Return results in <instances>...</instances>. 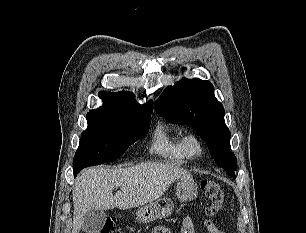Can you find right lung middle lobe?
<instances>
[{
    "mask_svg": "<svg viewBox=\"0 0 306 233\" xmlns=\"http://www.w3.org/2000/svg\"><path fill=\"white\" fill-rule=\"evenodd\" d=\"M149 115H123L110 112H89L88 127L82 133L74 156L73 172L114 161L135 141L142 138L150 125Z\"/></svg>",
    "mask_w": 306,
    "mask_h": 233,
    "instance_id": "1",
    "label": "right lung middle lobe"
}]
</instances>
